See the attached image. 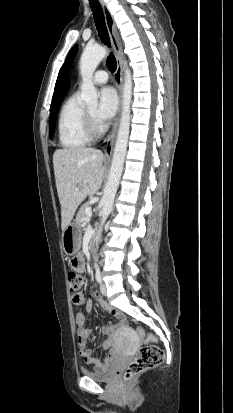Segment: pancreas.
Masks as SVG:
<instances>
[{"instance_id": "obj_1", "label": "pancreas", "mask_w": 233, "mask_h": 413, "mask_svg": "<svg viewBox=\"0 0 233 413\" xmlns=\"http://www.w3.org/2000/svg\"><path fill=\"white\" fill-rule=\"evenodd\" d=\"M88 207H90V205H89L88 203H87V204H84V205L80 208V210H79V212H78V214H77V216H76V223H77V225H79L80 227H83V226L85 225L86 217H87V215H86V209H87Z\"/></svg>"}]
</instances>
